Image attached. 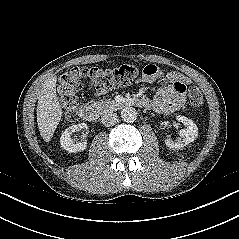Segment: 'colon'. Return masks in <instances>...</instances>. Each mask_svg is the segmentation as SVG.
Wrapping results in <instances>:
<instances>
[{"mask_svg":"<svg viewBox=\"0 0 239 239\" xmlns=\"http://www.w3.org/2000/svg\"><path fill=\"white\" fill-rule=\"evenodd\" d=\"M138 77V69L132 65H122L110 69L96 67H75L59 78L58 95L65 118L75 121L78 115V92L85 81L98 91H106L131 85ZM185 89V86H184ZM191 106L198 108L203 104V95L196 86L187 87Z\"/></svg>","mask_w":239,"mask_h":239,"instance_id":"5ec220e1","label":"colon"}]
</instances>
